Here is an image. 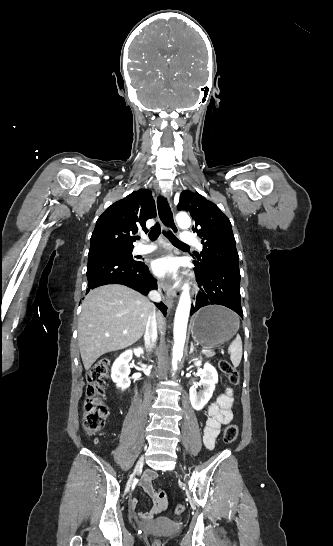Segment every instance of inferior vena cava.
Listing matches in <instances>:
<instances>
[{
    "label": "inferior vena cava",
    "instance_id": "obj_1",
    "mask_svg": "<svg viewBox=\"0 0 333 546\" xmlns=\"http://www.w3.org/2000/svg\"><path fill=\"white\" fill-rule=\"evenodd\" d=\"M149 298L152 301L156 302V303H159L161 301V295L156 290L150 291ZM153 310H154L153 314H152V316L150 317V319H149V321L147 323L146 331H145V334H144L145 347L147 349L153 348V346L156 343L157 337H158L157 313L155 311V306L154 305H153Z\"/></svg>",
    "mask_w": 333,
    "mask_h": 546
}]
</instances>
